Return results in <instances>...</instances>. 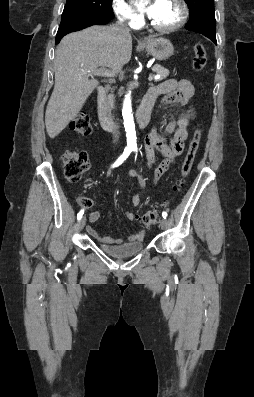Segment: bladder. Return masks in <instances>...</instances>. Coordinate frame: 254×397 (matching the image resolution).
Segmentation results:
<instances>
[{"label": "bladder", "mask_w": 254, "mask_h": 397, "mask_svg": "<svg viewBox=\"0 0 254 397\" xmlns=\"http://www.w3.org/2000/svg\"><path fill=\"white\" fill-rule=\"evenodd\" d=\"M144 248L142 242L126 243L123 245L109 246L102 245L100 249L109 256L115 258H127L140 253Z\"/></svg>", "instance_id": "1"}]
</instances>
